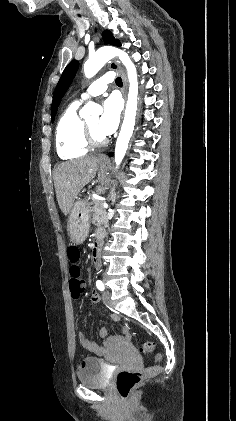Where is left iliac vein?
I'll return each instance as SVG.
<instances>
[{
  "label": "left iliac vein",
  "instance_id": "1",
  "mask_svg": "<svg viewBox=\"0 0 236 421\" xmlns=\"http://www.w3.org/2000/svg\"><path fill=\"white\" fill-rule=\"evenodd\" d=\"M103 300L109 306H113V302L111 300V293L109 291L106 290L103 292Z\"/></svg>",
  "mask_w": 236,
  "mask_h": 421
}]
</instances>
